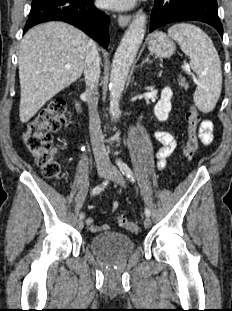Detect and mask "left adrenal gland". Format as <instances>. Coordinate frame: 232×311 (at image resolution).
<instances>
[{"instance_id":"obj_1","label":"left adrenal gland","mask_w":232,"mask_h":311,"mask_svg":"<svg viewBox=\"0 0 232 311\" xmlns=\"http://www.w3.org/2000/svg\"><path fill=\"white\" fill-rule=\"evenodd\" d=\"M145 63H152V61L149 59V56H147L146 59L142 61L141 67H142Z\"/></svg>"}]
</instances>
